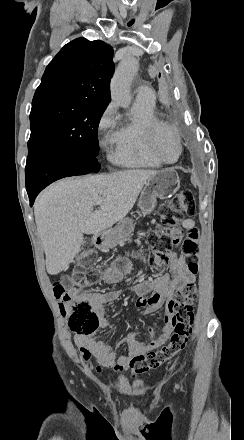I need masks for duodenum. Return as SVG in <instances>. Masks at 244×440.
<instances>
[{"label": "duodenum", "mask_w": 244, "mask_h": 440, "mask_svg": "<svg viewBox=\"0 0 244 440\" xmlns=\"http://www.w3.org/2000/svg\"><path fill=\"white\" fill-rule=\"evenodd\" d=\"M109 237H110L109 232H101V233L96 234L93 237V242H94L95 246L103 249L107 246V243L109 241Z\"/></svg>", "instance_id": "duodenum-1"}]
</instances>
